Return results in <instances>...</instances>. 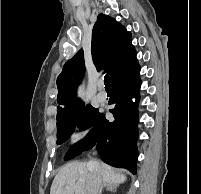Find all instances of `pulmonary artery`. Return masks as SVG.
Listing matches in <instances>:
<instances>
[{"label": "pulmonary artery", "instance_id": "e3ab8cb5", "mask_svg": "<svg viewBox=\"0 0 201 194\" xmlns=\"http://www.w3.org/2000/svg\"><path fill=\"white\" fill-rule=\"evenodd\" d=\"M98 100L100 101V102H105L106 100H107V93L104 91V90H102V91H100L99 93H98Z\"/></svg>", "mask_w": 201, "mask_h": 194}]
</instances>
